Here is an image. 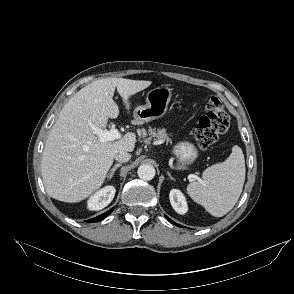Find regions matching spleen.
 Listing matches in <instances>:
<instances>
[{
  "instance_id": "spleen-1",
  "label": "spleen",
  "mask_w": 294,
  "mask_h": 294,
  "mask_svg": "<svg viewBox=\"0 0 294 294\" xmlns=\"http://www.w3.org/2000/svg\"><path fill=\"white\" fill-rule=\"evenodd\" d=\"M245 181V160L239 146L221 163L207 168L201 182L187 186L189 196L215 217L227 214L238 201Z\"/></svg>"
}]
</instances>
